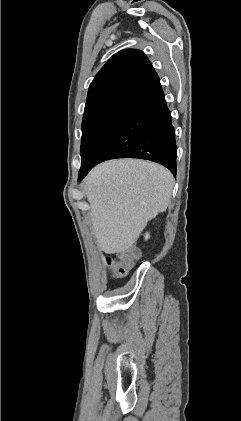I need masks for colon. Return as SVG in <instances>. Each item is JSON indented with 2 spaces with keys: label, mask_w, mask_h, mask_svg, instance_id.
<instances>
[{
  "label": "colon",
  "mask_w": 241,
  "mask_h": 421,
  "mask_svg": "<svg viewBox=\"0 0 241 421\" xmlns=\"http://www.w3.org/2000/svg\"><path fill=\"white\" fill-rule=\"evenodd\" d=\"M141 0H132V2H139ZM137 258L135 249H126L118 253L116 258L106 257V264L111 269L114 277L120 278L125 276L132 268Z\"/></svg>",
  "instance_id": "5ec220e1"
}]
</instances>
